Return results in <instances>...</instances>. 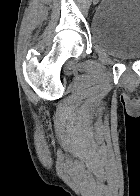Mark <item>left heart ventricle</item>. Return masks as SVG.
I'll use <instances>...</instances> for the list:
<instances>
[{
    "label": "left heart ventricle",
    "instance_id": "left-heart-ventricle-1",
    "mask_svg": "<svg viewBox=\"0 0 140 196\" xmlns=\"http://www.w3.org/2000/svg\"><path fill=\"white\" fill-rule=\"evenodd\" d=\"M105 192H119V191H105Z\"/></svg>",
    "mask_w": 140,
    "mask_h": 196
}]
</instances>
